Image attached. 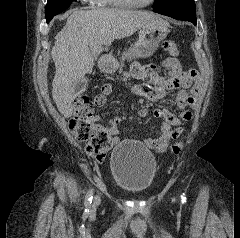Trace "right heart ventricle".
I'll use <instances>...</instances> for the list:
<instances>
[{
    "label": "right heart ventricle",
    "mask_w": 240,
    "mask_h": 238,
    "mask_svg": "<svg viewBox=\"0 0 240 238\" xmlns=\"http://www.w3.org/2000/svg\"><path fill=\"white\" fill-rule=\"evenodd\" d=\"M98 5L104 7H118L119 5L116 3L115 0H100Z\"/></svg>",
    "instance_id": "1"
}]
</instances>
